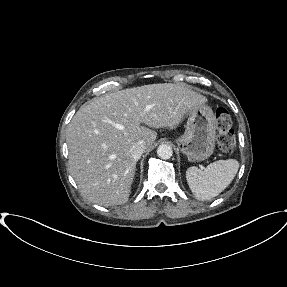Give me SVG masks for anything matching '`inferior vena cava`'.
<instances>
[{"label": "inferior vena cava", "instance_id": "inferior-vena-cava-1", "mask_svg": "<svg viewBox=\"0 0 287 287\" xmlns=\"http://www.w3.org/2000/svg\"><path fill=\"white\" fill-rule=\"evenodd\" d=\"M144 150H145L144 144L142 142H137L131 147L130 154L135 160H137L141 157Z\"/></svg>", "mask_w": 287, "mask_h": 287}]
</instances>
